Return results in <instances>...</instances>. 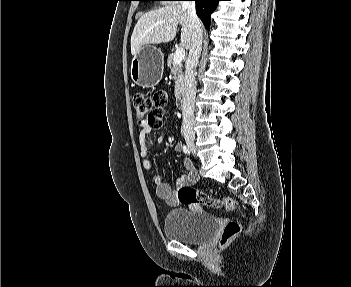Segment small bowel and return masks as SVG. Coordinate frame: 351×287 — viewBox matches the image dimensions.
<instances>
[{
    "label": "small bowel",
    "instance_id": "1",
    "mask_svg": "<svg viewBox=\"0 0 351 287\" xmlns=\"http://www.w3.org/2000/svg\"><path fill=\"white\" fill-rule=\"evenodd\" d=\"M139 153L140 157L142 158V164L144 169L149 172L153 173L155 168L153 163L148 159V153H149V135L152 132V127H149L146 121H140L139 123ZM164 141V136L160 135L156 138L157 143H162ZM183 150V145L182 143H176L175 145V151L181 152ZM185 169L187 173L183 176H181L177 182H176V187L181 188L182 186L185 185H193L197 182V174L196 171L192 165V162L190 160H186L184 162ZM153 183L156 188V193L158 197L165 202H167L169 205H177L178 204V196L177 192L174 191L169 184H167L161 176L159 175H154L153 176Z\"/></svg>",
    "mask_w": 351,
    "mask_h": 287
}]
</instances>
